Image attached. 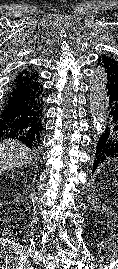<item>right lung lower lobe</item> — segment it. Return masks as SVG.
I'll return each instance as SVG.
<instances>
[{
  "label": "right lung lower lobe",
  "mask_w": 118,
  "mask_h": 269,
  "mask_svg": "<svg viewBox=\"0 0 118 269\" xmlns=\"http://www.w3.org/2000/svg\"><path fill=\"white\" fill-rule=\"evenodd\" d=\"M41 91L42 85L11 86L0 110L1 139H17L31 149L37 148L42 125L37 120L36 97Z\"/></svg>",
  "instance_id": "obj_1"
}]
</instances>
